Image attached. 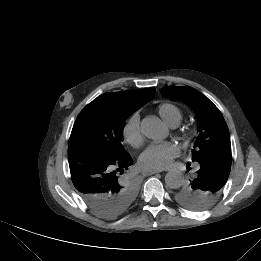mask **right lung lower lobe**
<instances>
[{
	"mask_svg": "<svg viewBox=\"0 0 261 261\" xmlns=\"http://www.w3.org/2000/svg\"><path fill=\"white\" fill-rule=\"evenodd\" d=\"M68 160L72 182L88 204H93L103 193L116 190L132 164L130 155H104L86 144L69 146ZM115 202V199L109 200L106 207L113 208Z\"/></svg>",
	"mask_w": 261,
	"mask_h": 261,
	"instance_id": "98d812e1",
	"label": "right lung lower lobe"
}]
</instances>
